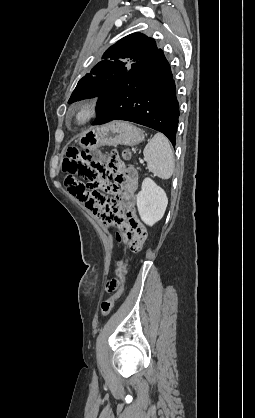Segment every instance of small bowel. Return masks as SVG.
Returning a JSON list of instances; mask_svg holds the SVG:
<instances>
[{
	"instance_id": "obj_1",
	"label": "small bowel",
	"mask_w": 255,
	"mask_h": 418,
	"mask_svg": "<svg viewBox=\"0 0 255 418\" xmlns=\"http://www.w3.org/2000/svg\"><path fill=\"white\" fill-rule=\"evenodd\" d=\"M124 156L119 154L116 149L108 155L109 163H116L117 173L114 176V183L111 192L120 200L119 216L125 218L134 207L135 193L138 188V174L136 170L120 169L118 163H123ZM104 224L109 225L107 221ZM121 234L125 242L123 246L126 249H131L133 256L140 254V249L144 248L147 231L145 228H117L116 235ZM119 276L118 274H109L108 283L105 286V291L109 296H112L118 288Z\"/></svg>"
}]
</instances>
